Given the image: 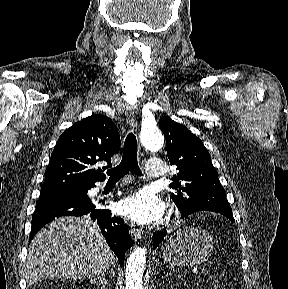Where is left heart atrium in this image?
I'll return each instance as SVG.
<instances>
[{
    "label": "left heart atrium",
    "mask_w": 288,
    "mask_h": 289,
    "mask_svg": "<svg viewBox=\"0 0 288 289\" xmlns=\"http://www.w3.org/2000/svg\"><path fill=\"white\" fill-rule=\"evenodd\" d=\"M119 211L138 223H152L161 219L165 206L155 194L149 190H141L120 201Z\"/></svg>",
    "instance_id": "left-heart-atrium-1"
}]
</instances>
